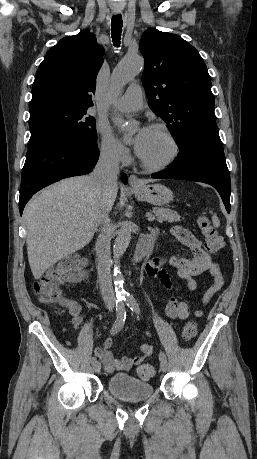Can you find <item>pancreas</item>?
I'll return each instance as SVG.
<instances>
[{"label": "pancreas", "mask_w": 257, "mask_h": 459, "mask_svg": "<svg viewBox=\"0 0 257 459\" xmlns=\"http://www.w3.org/2000/svg\"><path fill=\"white\" fill-rule=\"evenodd\" d=\"M152 212L155 214L157 218L156 220L160 223L164 221H167L169 223L181 221V215L168 208L155 207L153 208Z\"/></svg>", "instance_id": "1"}]
</instances>
